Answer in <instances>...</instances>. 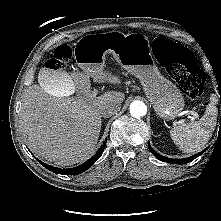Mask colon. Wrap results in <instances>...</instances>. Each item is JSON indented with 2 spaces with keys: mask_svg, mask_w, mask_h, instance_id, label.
Instances as JSON below:
<instances>
[{
  "mask_svg": "<svg viewBox=\"0 0 221 221\" xmlns=\"http://www.w3.org/2000/svg\"><path fill=\"white\" fill-rule=\"evenodd\" d=\"M153 51L186 96L196 99L203 94L206 74L198 67L190 50L165 37H156ZM71 57L72 49L68 45H60L48 61L47 67L51 70H63Z\"/></svg>",
  "mask_w": 221,
  "mask_h": 221,
  "instance_id": "colon-1",
  "label": "colon"
}]
</instances>
